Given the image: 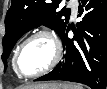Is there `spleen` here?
<instances>
[{
    "mask_svg": "<svg viewBox=\"0 0 107 89\" xmlns=\"http://www.w3.org/2000/svg\"><path fill=\"white\" fill-rule=\"evenodd\" d=\"M65 89H83V87L79 84H65Z\"/></svg>",
    "mask_w": 107,
    "mask_h": 89,
    "instance_id": "1",
    "label": "spleen"
}]
</instances>
